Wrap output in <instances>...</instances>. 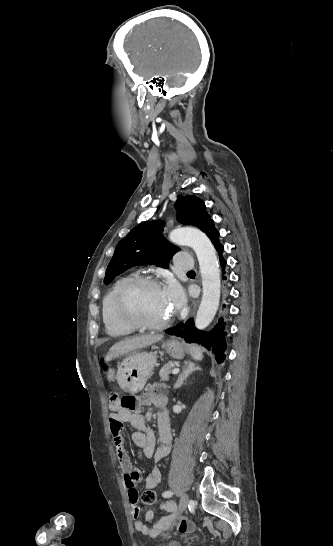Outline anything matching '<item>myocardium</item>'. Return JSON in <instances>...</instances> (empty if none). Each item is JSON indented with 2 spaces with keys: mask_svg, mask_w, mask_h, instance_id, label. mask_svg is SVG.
Here are the masks:
<instances>
[{
  "mask_svg": "<svg viewBox=\"0 0 333 546\" xmlns=\"http://www.w3.org/2000/svg\"><path fill=\"white\" fill-rule=\"evenodd\" d=\"M161 287L159 281L153 277L138 276L127 282L119 291L116 298V310L120 319L133 329L137 330H161L173 322V314L166 320L152 323L143 320L132 306V297L143 287Z\"/></svg>",
  "mask_w": 333,
  "mask_h": 546,
  "instance_id": "obj_1",
  "label": "myocardium"
}]
</instances>
